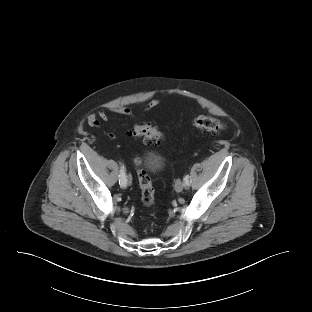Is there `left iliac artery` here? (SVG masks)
Listing matches in <instances>:
<instances>
[{"label": "left iliac artery", "mask_w": 312, "mask_h": 312, "mask_svg": "<svg viewBox=\"0 0 312 312\" xmlns=\"http://www.w3.org/2000/svg\"><path fill=\"white\" fill-rule=\"evenodd\" d=\"M184 182L186 185H189V175L184 176Z\"/></svg>", "instance_id": "1"}]
</instances>
